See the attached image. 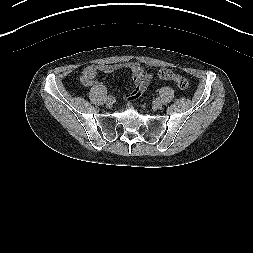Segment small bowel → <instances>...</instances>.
<instances>
[{
	"mask_svg": "<svg viewBox=\"0 0 253 253\" xmlns=\"http://www.w3.org/2000/svg\"><path fill=\"white\" fill-rule=\"evenodd\" d=\"M123 68L129 70V72L132 75L133 80L136 78H143L147 82L150 79V75L145 73L144 68L134 62H128L123 65H121ZM116 69L115 65H109V64H93L88 67H86L80 74V81L82 84L88 86L93 83L95 77L99 72L104 73H110Z\"/></svg>",
	"mask_w": 253,
	"mask_h": 253,
	"instance_id": "obj_1",
	"label": "small bowel"
}]
</instances>
